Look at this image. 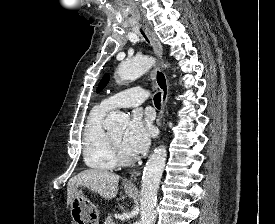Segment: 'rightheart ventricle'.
I'll return each mask as SVG.
<instances>
[{
    "mask_svg": "<svg viewBox=\"0 0 275 224\" xmlns=\"http://www.w3.org/2000/svg\"><path fill=\"white\" fill-rule=\"evenodd\" d=\"M106 113L101 106L94 107L83 131L84 161L88 167L96 170H112L117 166L108 144V133L102 125Z\"/></svg>",
    "mask_w": 275,
    "mask_h": 224,
    "instance_id": "right-heart-ventricle-1",
    "label": "right heart ventricle"
}]
</instances>
